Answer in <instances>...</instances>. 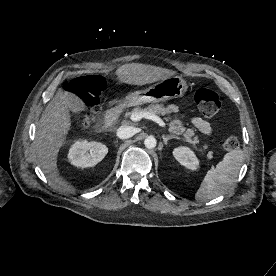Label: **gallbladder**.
Masks as SVG:
<instances>
[{
	"label": "gallbladder",
	"mask_w": 276,
	"mask_h": 276,
	"mask_svg": "<svg viewBox=\"0 0 276 276\" xmlns=\"http://www.w3.org/2000/svg\"><path fill=\"white\" fill-rule=\"evenodd\" d=\"M69 109L73 112H79L85 110L86 106L77 95L72 93V98L69 102Z\"/></svg>",
	"instance_id": "gallbladder-1"
}]
</instances>
